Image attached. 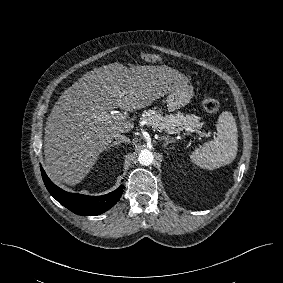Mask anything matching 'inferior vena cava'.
<instances>
[{
	"label": "inferior vena cava",
	"mask_w": 283,
	"mask_h": 283,
	"mask_svg": "<svg viewBox=\"0 0 283 283\" xmlns=\"http://www.w3.org/2000/svg\"><path fill=\"white\" fill-rule=\"evenodd\" d=\"M114 138L120 142L130 143V139L124 135H121L120 133L115 134Z\"/></svg>",
	"instance_id": "1"
}]
</instances>
